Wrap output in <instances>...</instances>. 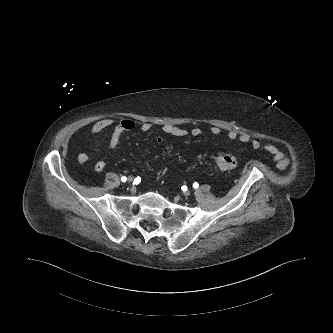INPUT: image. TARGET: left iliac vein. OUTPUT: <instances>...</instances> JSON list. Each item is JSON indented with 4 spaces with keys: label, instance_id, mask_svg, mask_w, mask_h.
Returning a JSON list of instances; mask_svg holds the SVG:
<instances>
[{
    "label": "left iliac vein",
    "instance_id": "left-iliac-vein-1",
    "mask_svg": "<svg viewBox=\"0 0 333 333\" xmlns=\"http://www.w3.org/2000/svg\"><path fill=\"white\" fill-rule=\"evenodd\" d=\"M183 195L186 196V197L189 196L190 195V191L189 190L184 191Z\"/></svg>",
    "mask_w": 333,
    "mask_h": 333
}]
</instances>
